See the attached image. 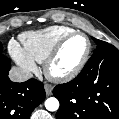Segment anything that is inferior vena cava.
<instances>
[{
	"label": "inferior vena cava",
	"mask_w": 119,
	"mask_h": 119,
	"mask_svg": "<svg viewBox=\"0 0 119 119\" xmlns=\"http://www.w3.org/2000/svg\"><path fill=\"white\" fill-rule=\"evenodd\" d=\"M33 77V74L19 67H12L9 71V78L14 82H24Z\"/></svg>",
	"instance_id": "obj_1"
}]
</instances>
